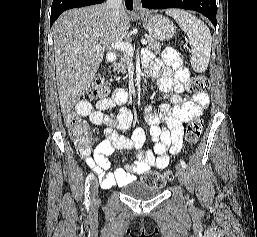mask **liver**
<instances>
[{
	"mask_svg": "<svg viewBox=\"0 0 257 237\" xmlns=\"http://www.w3.org/2000/svg\"><path fill=\"white\" fill-rule=\"evenodd\" d=\"M130 20L125 10L120 22L110 16L106 4L64 12L53 25L56 81L61 111L65 115L91 84L103 60L104 50L122 42ZM100 44L102 50L95 46Z\"/></svg>",
	"mask_w": 257,
	"mask_h": 237,
	"instance_id": "6515ba94",
	"label": "liver"
}]
</instances>
